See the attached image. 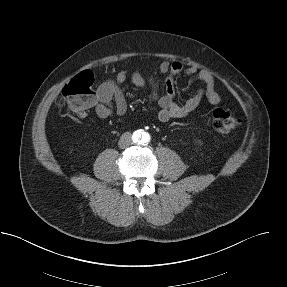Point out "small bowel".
<instances>
[{
	"label": "small bowel",
	"instance_id": "obj_1",
	"mask_svg": "<svg viewBox=\"0 0 287 287\" xmlns=\"http://www.w3.org/2000/svg\"><path fill=\"white\" fill-rule=\"evenodd\" d=\"M160 72L165 75L163 92L152 78H146L141 72L131 74V82L138 88L150 86V98L159 106L158 119L167 122L174 118H183L196 110L205 96L212 104H218L221 96L216 89L215 77L207 70H200L195 66L185 67L180 61H164L159 66ZM194 76L201 87L191 97L183 102L176 100L175 77L179 74ZM125 71L117 73L114 79H108L100 84L96 92L94 111L98 118L105 119L113 112L124 115L127 111V101L121 89L127 80ZM81 118L87 117V112L79 114Z\"/></svg>",
	"mask_w": 287,
	"mask_h": 287
}]
</instances>
